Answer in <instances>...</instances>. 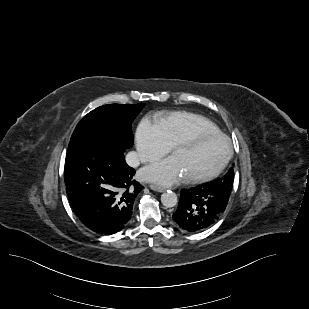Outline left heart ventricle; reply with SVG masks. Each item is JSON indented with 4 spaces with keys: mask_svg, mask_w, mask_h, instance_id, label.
Here are the masks:
<instances>
[{
    "mask_svg": "<svg viewBox=\"0 0 309 309\" xmlns=\"http://www.w3.org/2000/svg\"><path fill=\"white\" fill-rule=\"evenodd\" d=\"M226 153V144L219 138H206L195 144L180 147L173 153L187 177L210 173L222 161Z\"/></svg>",
    "mask_w": 309,
    "mask_h": 309,
    "instance_id": "left-heart-ventricle-1",
    "label": "left heart ventricle"
}]
</instances>
